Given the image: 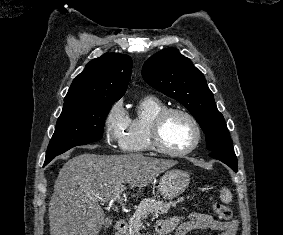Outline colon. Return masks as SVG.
Returning <instances> with one entry per match:
<instances>
[{"mask_svg":"<svg viewBox=\"0 0 283 235\" xmlns=\"http://www.w3.org/2000/svg\"><path fill=\"white\" fill-rule=\"evenodd\" d=\"M212 208L216 215L223 221H230L232 219V211L231 209L219 202L213 201Z\"/></svg>","mask_w":283,"mask_h":235,"instance_id":"1","label":"colon"}]
</instances>
